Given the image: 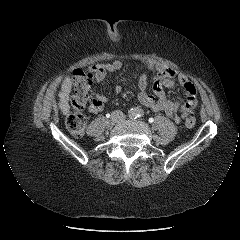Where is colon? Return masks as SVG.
<instances>
[{
  "label": "colon",
  "mask_w": 240,
  "mask_h": 240,
  "mask_svg": "<svg viewBox=\"0 0 240 240\" xmlns=\"http://www.w3.org/2000/svg\"><path fill=\"white\" fill-rule=\"evenodd\" d=\"M94 78L95 73L92 70L89 72L75 70L73 72V88L70 99L71 109L66 117V127L76 137L82 136L86 128V118L83 112L89 99L88 89L92 85ZM195 123V114L191 112L185 118V125L188 128H192L195 126Z\"/></svg>",
  "instance_id": "colon-1"
}]
</instances>
